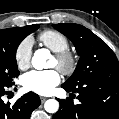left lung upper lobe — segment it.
<instances>
[{"mask_svg":"<svg viewBox=\"0 0 119 119\" xmlns=\"http://www.w3.org/2000/svg\"><path fill=\"white\" fill-rule=\"evenodd\" d=\"M53 27L73 42L80 56L74 73L63 85L76 88L104 80L119 81V62L103 40L78 24L62 23Z\"/></svg>","mask_w":119,"mask_h":119,"instance_id":"1","label":"left lung upper lobe"}]
</instances>
